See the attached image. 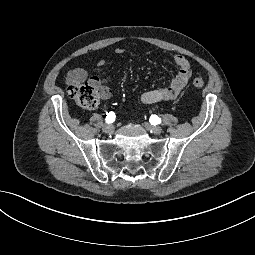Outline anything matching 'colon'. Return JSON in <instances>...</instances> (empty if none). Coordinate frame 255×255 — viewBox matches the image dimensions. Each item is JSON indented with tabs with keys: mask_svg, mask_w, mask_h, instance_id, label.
I'll use <instances>...</instances> for the list:
<instances>
[{
	"mask_svg": "<svg viewBox=\"0 0 255 255\" xmlns=\"http://www.w3.org/2000/svg\"><path fill=\"white\" fill-rule=\"evenodd\" d=\"M192 85L196 89H202L205 86V81L200 78H194ZM68 96L83 109H92L98 104V92L89 84L70 85L67 89Z\"/></svg>",
	"mask_w": 255,
	"mask_h": 255,
	"instance_id": "obj_1",
	"label": "colon"
}]
</instances>
